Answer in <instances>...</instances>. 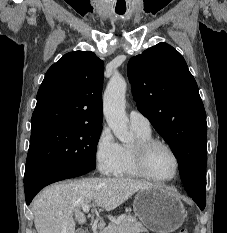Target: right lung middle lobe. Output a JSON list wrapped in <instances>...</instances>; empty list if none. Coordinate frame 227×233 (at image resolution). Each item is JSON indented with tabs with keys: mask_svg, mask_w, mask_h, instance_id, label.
Returning <instances> with one entry per match:
<instances>
[{
	"mask_svg": "<svg viewBox=\"0 0 227 233\" xmlns=\"http://www.w3.org/2000/svg\"><path fill=\"white\" fill-rule=\"evenodd\" d=\"M101 130V124H76L32 133L24 181L51 169H95Z\"/></svg>",
	"mask_w": 227,
	"mask_h": 233,
	"instance_id": "1",
	"label": "right lung middle lobe"
}]
</instances>
